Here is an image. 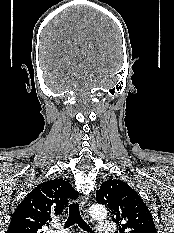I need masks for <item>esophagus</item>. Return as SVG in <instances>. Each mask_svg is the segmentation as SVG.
<instances>
[{"label": "esophagus", "mask_w": 174, "mask_h": 233, "mask_svg": "<svg viewBox=\"0 0 174 233\" xmlns=\"http://www.w3.org/2000/svg\"><path fill=\"white\" fill-rule=\"evenodd\" d=\"M79 203H80V208L83 214L86 216L87 215V201L86 198L83 196L79 197Z\"/></svg>", "instance_id": "esophagus-1"}]
</instances>
